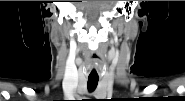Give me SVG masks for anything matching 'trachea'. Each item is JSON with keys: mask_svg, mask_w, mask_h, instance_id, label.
I'll return each instance as SVG.
<instances>
[{"mask_svg": "<svg viewBox=\"0 0 185 101\" xmlns=\"http://www.w3.org/2000/svg\"><path fill=\"white\" fill-rule=\"evenodd\" d=\"M98 81H99V76H98L97 70L93 68L90 72V75L88 77V82H87L88 90L90 92L96 89L98 85Z\"/></svg>", "mask_w": 185, "mask_h": 101, "instance_id": "3493384b", "label": "trachea"}]
</instances>
